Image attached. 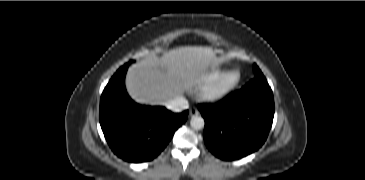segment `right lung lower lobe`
Masks as SVG:
<instances>
[{
	"mask_svg": "<svg viewBox=\"0 0 365 180\" xmlns=\"http://www.w3.org/2000/svg\"><path fill=\"white\" fill-rule=\"evenodd\" d=\"M129 64L122 66L105 87L99 121L112 151L128 162L154 159L187 119L188 110L172 113L161 106L135 103L124 84Z\"/></svg>",
	"mask_w": 365,
	"mask_h": 180,
	"instance_id": "98d812e1",
	"label": "right lung lower lobe"
}]
</instances>
